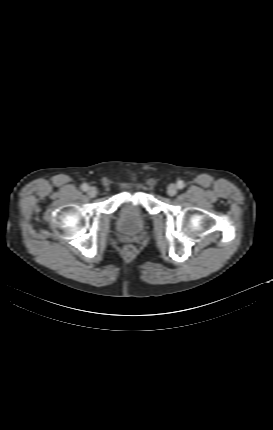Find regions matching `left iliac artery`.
<instances>
[{
	"label": "left iliac artery",
	"mask_w": 273,
	"mask_h": 430,
	"mask_svg": "<svg viewBox=\"0 0 273 430\" xmlns=\"http://www.w3.org/2000/svg\"><path fill=\"white\" fill-rule=\"evenodd\" d=\"M184 187H185L184 182H183V181H179V182H178V188L182 189V188H184Z\"/></svg>",
	"instance_id": "left-iliac-artery-1"
}]
</instances>
